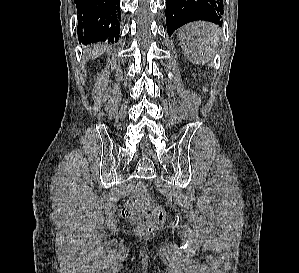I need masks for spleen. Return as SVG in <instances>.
I'll list each match as a JSON object with an SVG mask.
<instances>
[{
  "instance_id": "spleen-1",
  "label": "spleen",
  "mask_w": 299,
  "mask_h": 273,
  "mask_svg": "<svg viewBox=\"0 0 299 273\" xmlns=\"http://www.w3.org/2000/svg\"><path fill=\"white\" fill-rule=\"evenodd\" d=\"M217 27L197 21L178 30V40L184 56L194 64L207 63L214 55L217 43Z\"/></svg>"
}]
</instances>
